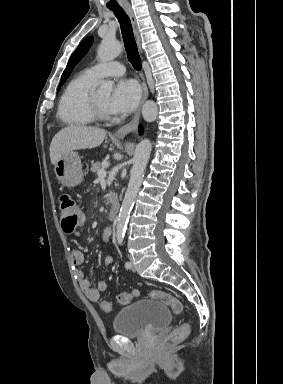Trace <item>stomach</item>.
I'll list each match as a JSON object with an SVG mask.
<instances>
[{
	"label": "stomach",
	"instance_id": "stomach-1",
	"mask_svg": "<svg viewBox=\"0 0 283 384\" xmlns=\"http://www.w3.org/2000/svg\"><path fill=\"white\" fill-rule=\"evenodd\" d=\"M54 172L60 184L67 186V188L78 186L85 176V172L82 170L81 158L77 152H68L66 156L60 158L56 166H54Z\"/></svg>",
	"mask_w": 283,
	"mask_h": 384
}]
</instances>
